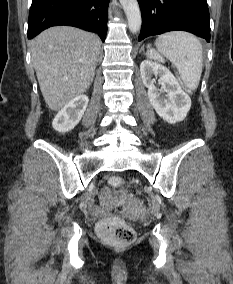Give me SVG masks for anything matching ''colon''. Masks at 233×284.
<instances>
[{"label":"colon","mask_w":233,"mask_h":284,"mask_svg":"<svg viewBox=\"0 0 233 284\" xmlns=\"http://www.w3.org/2000/svg\"><path fill=\"white\" fill-rule=\"evenodd\" d=\"M147 55L158 63L165 62V58L154 48L148 49ZM185 89L187 88L185 87ZM108 182L114 188H120L123 185V179L117 175L109 177ZM118 200L131 212L143 213L145 211L142 201L130 196L125 191H119ZM97 232L104 240L120 246L132 244L136 239L135 230L118 219L100 221L97 225Z\"/></svg>","instance_id":"obj_1"}]
</instances>
